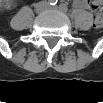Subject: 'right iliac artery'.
<instances>
[{"label": "right iliac artery", "mask_w": 103, "mask_h": 103, "mask_svg": "<svg viewBox=\"0 0 103 103\" xmlns=\"http://www.w3.org/2000/svg\"><path fill=\"white\" fill-rule=\"evenodd\" d=\"M50 5L54 6L57 4V0H49L48 2Z\"/></svg>", "instance_id": "obj_1"}]
</instances>
